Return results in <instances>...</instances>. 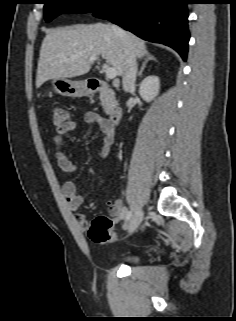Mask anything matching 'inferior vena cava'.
I'll list each match as a JSON object with an SVG mask.
<instances>
[{
    "label": "inferior vena cava",
    "instance_id": "obj_1",
    "mask_svg": "<svg viewBox=\"0 0 236 321\" xmlns=\"http://www.w3.org/2000/svg\"><path fill=\"white\" fill-rule=\"evenodd\" d=\"M114 33L120 37L126 53L125 72L123 74V89L128 92L135 87L137 74V61L132 44L130 43L126 33L119 27L113 25Z\"/></svg>",
    "mask_w": 236,
    "mask_h": 321
}]
</instances>
